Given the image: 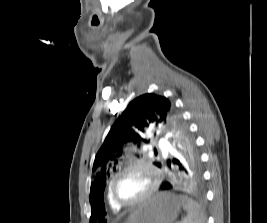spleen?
Here are the masks:
<instances>
[{
  "mask_svg": "<svg viewBox=\"0 0 267 223\" xmlns=\"http://www.w3.org/2000/svg\"><path fill=\"white\" fill-rule=\"evenodd\" d=\"M179 198L187 211L186 217L180 223H205V214L196 201L184 195Z\"/></svg>",
  "mask_w": 267,
  "mask_h": 223,
  "instance_id": "obj_1",
  "label": "spleen"
}]
</instances>
